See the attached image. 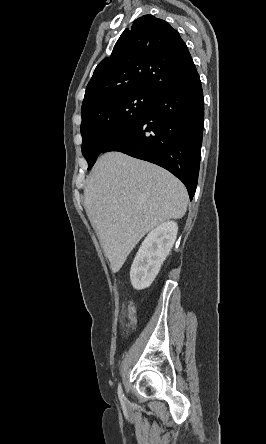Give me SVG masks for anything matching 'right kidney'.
Segmentation results:
<instances>
[{
    "label": "right kidney",
    "instance_id": "obj_1",
    "mask_svg": "<svg viewBox=\"0 0 266 444\" xmlns=\"http://www.w3.org/2000/svg\"><path fill=\"white\" fill-rule=\"evenodd\" d=\"M178 226L168 221L153 229L142 242L130 270L136 290L148 288L160 271L176 240Z\"/></svg>",
    "mask_w": 266,
    "mask_h": 444
}]
</instances>
